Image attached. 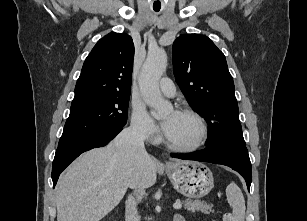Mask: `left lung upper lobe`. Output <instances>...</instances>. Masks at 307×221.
Here are the masks:
<instances>
[{
	"label": "left lung upper lobe",
	"instance_id": "1",
	"mask_svg": "<svg viewBox=\"0 0 307 221\" xmlns=\"http://www.w3.org/2000/svg\"><path fill=\"white\" fill-rule=\"evenodd\" d=\"M172 55L177 84L209 125L206 146L225 145L248 153L224 54L207 36L186 34L173 43Z\"/></svg>",
	"mask_w": 307,
	"mask_h": 221
}]
</instances>
